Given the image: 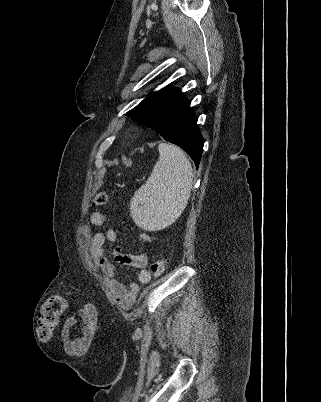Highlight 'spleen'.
<instances>
[{
    "instance_id": "obj_1",
    "label": "spleen",
    "mask_w": 321,
    "mask_h": 402,
    "mask_svg": "<svg viewBox=\"0 0 321 402\" xmlns=\"http://www.w3.org/2000/svg\"><path fill=\"white\" fill-rule=\"evenodd\" d=\"M158 150L159 159L149 178L130 201L133 221L149 231L165 228L181 215L193 182L191 163L180 148L160 143Z\"/></svg>"
}]
</instances>
